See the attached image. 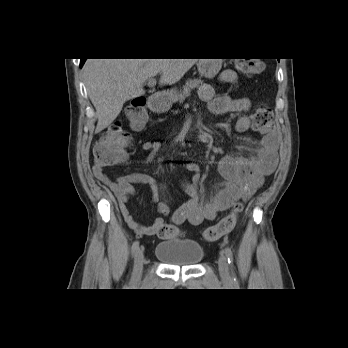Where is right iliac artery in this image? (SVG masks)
I'll return each instance as SVG.
<instances>
[{
    "label": "right iliac artery",
    "instance_id": "82829eb1",
    "mask_svg": "<svg viewBox=\"0 0 348 348\" xmlns=\"http://www.w3.org/2000/svg\"><path fill=\"white\" fill-rule=\"evenodd\" d=\"M138 249H139V241H135L132 245V248H131L132 255H135V253L138 251Z\"/></svg>",
    "mask_w": 348,
    "mask_h": 348
}]
</instances>
